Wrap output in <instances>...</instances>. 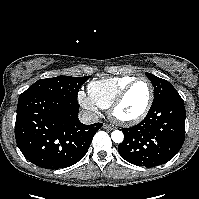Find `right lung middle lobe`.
<instances>
[{"instance_id":"right-lung-middle-lobe-1","label":"right lung middle lobe","mask_w":199,"mask_h":199,"mask_svg":"<svg viewBox=\"0 0 199 199\" xmlns=\"http://www.w3.org/2000/svg\"><path fill=\"white\" fill-rule=\"evenodd\" d=\"M89 78L90 76H58L54 78L41 79L31 85L26 91H24L19 96V99L34 94H44L77 102V94L79 88Z\"/></svg>"}]
</instances>
